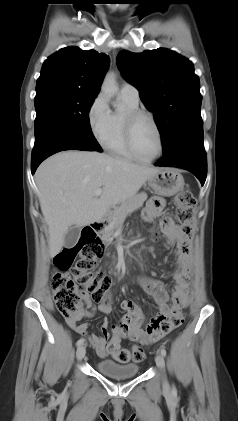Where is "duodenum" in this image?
<instances>
[{
	"instance_id": "obj_1",
	"label": "duodenum",
	"mask_w": 238,
	"mask_h": 421,
	"mask_svg": "<svg viewBox=\"0 0 238 421\" xmlns=\"http://www.w3.org/2000/svg\"><path fill=\"white\" fill-rule=\"evenodd\" d=\"M105 226V222L101 219L95 220L90 226L86 227L84 233L96 234Z\"/></svg>"
}]
</instances>
